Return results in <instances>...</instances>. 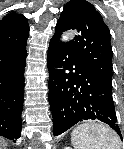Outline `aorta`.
<instances>
[{"mask_svg": "<svg viewBox=\"0 0 124 149\" xmlns=\"http://www.w3.org/2000/svg\"><path fill=\"white\" fill-rule=\"evenodd\" d=\"M70 38V35H64L63 40H68Z\"/></svg>", "mask_w": 124, "mask_h": 149, "instance_id": "aorta-1", "label": "aorta"}]
</instances>
